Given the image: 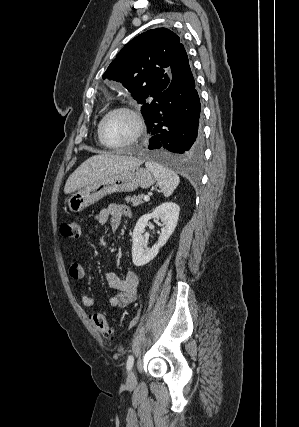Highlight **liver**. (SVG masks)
<instances>
[{"label":"liver","mask_w":299,"mask_h":427,"mask_svg":"<svg viewBox=\"0 0 299 427\" xmlns=\"http://www.w3.org/2000/svg\"><path fill=\"white\" fill-rule=\"evenodd\" d=\"M143 160L111 153H101L85 160L67 179L64 193L70 194L109 175L139 167Z\"/></svg>","instance_id":"6515ba94"}]
</instances>
